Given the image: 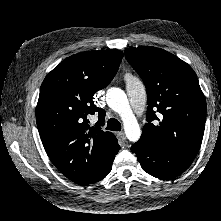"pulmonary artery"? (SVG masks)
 <instances>
[{
    "label": "pulmonary artery",
    "mask_w": 221,
    "mask_h": 221,
    "mask_svg": "<svg viewBox=\"0 0 221 221\" xmlns=\"http://www.w3.org/2000/svg\"><path fill=\"white\" fill-rule=\"evenodd\" d=\"M124 82L130 101L142 113V105L146 96V88L142 80L134 74L126 73Z\"/></svg>",
    "instance_id": "obj_1"
}]
</instances>
